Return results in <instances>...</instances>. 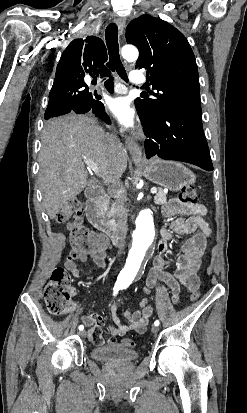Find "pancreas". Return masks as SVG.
I'll return each instance as SVG.
<instances>
[{"mask_svg": "<svg viewBox=\"0 0 247 413\" xmlns=\"http://www.w3.org/2000/svg\"><path fill=\"white\" fill-rule=\"evenodd\" d=\"M110 192V190H109ZM166 194L167 192H164V190H162V188H159V192H156L155 196H154V202L155 204H164V202H166L167 198H166ZM117 211L118 209H115L114 204L113 207H111L110 211H108L107 213V217H115V215H117ZM111 223H114L115 219H110Z\"/></svg>", "mask_w": 247, "mask_h": 413, "instance_id": "1", "label": "pancreas"}]
</instances>
